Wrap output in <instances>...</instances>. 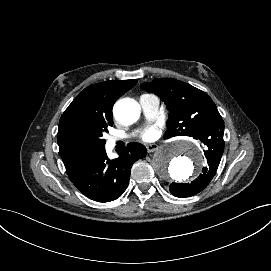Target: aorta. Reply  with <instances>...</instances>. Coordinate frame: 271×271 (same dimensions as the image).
<instances>
[{
	"mask_svg": "<svg viewBox=\"0 0 271 271\" xmlns=\"http://www.w3.org/2000/svg\"><path fill=\"white\" fill-rule=\"evenodd\" d=\"M114 116L122 124L130 125L140 116V106L132 99H122L113 108ZM203 163L200 151L188 142H175L159 149L153 156L152 167L166 180H188Z\"/></svg>",
	"mask_w": 271,
	"mask_h": 271,
	"instance_id": "aorta-1",
	"label": "aorta"
}]
</instances>
